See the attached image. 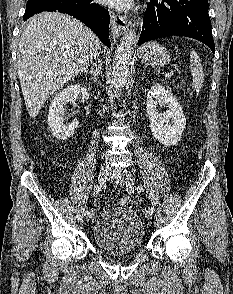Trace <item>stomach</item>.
<instances>
[{"label": "stomach", "instance_id": "obj_1", "mask_svg": "<svg viewBox=\"0 0 233 294\" xmlns=\"http://www.w3.org/2000/svg\"><path fill=\"white\" fill-rule=\"evenodd\" d=\"M142 62L154 67L167 65L170 62V53L162 45L156 42L145 44L139 55Z\"/></svg>", "mask_w": 233, "mask_h": 294}]
</instances>
